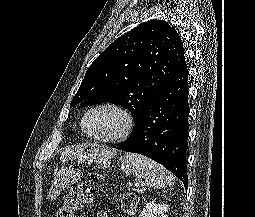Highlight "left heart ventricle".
Here are the masks:
<instances>
[{"instance_id":"b2bd125f","label":"left heart ventricle","mask_w":255,"mask_h":217,"mask_svg":"<svg viewBox=\"0 0 255 217\" xmlns=\"http://www.w3.org/2000/svg\"><path fill=\"white\" fill-rule=\"evenodd\" d=\"M121 117L112 110L98 109L89 114L85 127L93 135L111 136L119 131Z\"/></svg>"}]
</instances>
